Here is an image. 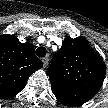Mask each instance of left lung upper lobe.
Listing matches in <instances>:
<instances>
[{
  "mask_svg": "<svg viewBox=\"0 0 108 108\" xmlns=\"http://www.w3.org/2000/svg\"><path fill=\"white\" fill-rule=\"evenodd\" d=\"M52 83H65L79 88L99 90L106 73L101 56L89 42L67 36L48 68Z\"/></svg>",
  "mask_w": 108,
  "mask_h": 108,
  "instance_id": "1",
  "label": "left lung upper lobe"
}]
</instances>
